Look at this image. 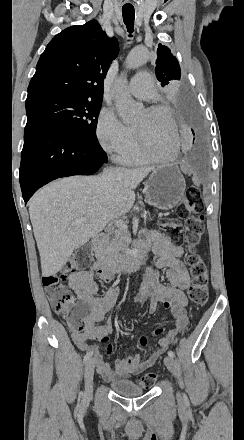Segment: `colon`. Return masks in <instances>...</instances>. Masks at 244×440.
<instances>
[{
    "label": "colon",
    "instance_id": "1",
    "mask_svg": "<svg viewBox=\"0 0 244 440\" xmlns=\"http://www.w3.org/2000/svg\"><path fill=\"white\" fill-rule=\"evenodd\" d=\"M203 202L197 189L190 188L187 200L177 209V216L172 219L162 218L159 222L160 230H169L174 242L181 245L185 240L188 254L186 265L192 277V285L188 290L190 300L197 306H203L208 300L209 275L203 258L197 253V246L204 232ZM181 223L185 224V237L178 230ZM92 254L90 248H76L75 257L65 266L53 274L42 276L43 288L49 295L54 312L63 316L71 328L78 334L85 332L89 325L87 314L92 313L91 305H82L76 302L74 294L65 287L64 278L67 274L76 272L80 267H88ZM140 346L146 348L148 339L142 336ZM157 373H144L139 382L151 387L157 382Z\"/></svg>",
    "mask_w": 244,
    "mask_h": 440
}]
</instances>
